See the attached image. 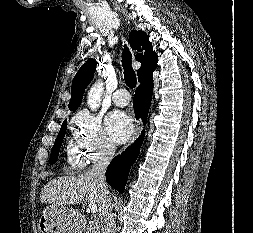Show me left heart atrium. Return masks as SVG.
<instances>
[{
	"label": "left heart atrium",
	"mask_w": 253,
	"mask_h": 233,
	"mask_svg": "<svg viewBox=\"0 0 253 233\" xmlns=\"http://www.w3.org/2000/svg\"><path fill=\"white\" fill-rule=\"evenodd\" d=\"M106 128L113 141L124 143L133 132V120L122 111H112L106 117Z\"/></svg>",
	"instance_id": "1"
}]
</instances>
